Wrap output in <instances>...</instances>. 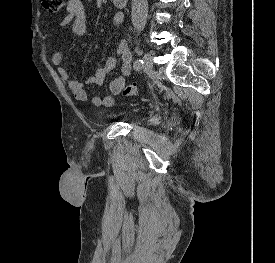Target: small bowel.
<instances>
[{
  "instance_id": "small-bowel-1",
  "label": "small bowel",
  "mask_w": 275,
  "mask_h": 263,
  "mask_svg": "<svg viewBox=\"0 0 275 263\" xmlns=\"http://www.w3.org/2000/svg\"><path fill=\"white\" fill-rule=\"evenodd\" d=\"M67 15L60 23V28L70 26L74 35L82 37L86 33V10L81 0H69L67 5ZM113 23L120 28L123 23V15L116 13L113 16ZM121 61V72L119 76L109 83L110 94L103 97H93L91 104L95 107L109 108L114 103V96L122 91L126 78L132 70V54L129 50L127 41L119 39L114 52L106 59L104 64H98L92 76L88 77L86 84L102 85L108 74L112 72L117 61ZM63 55L60 51H56L52 55V63L56 65L59 76L67 82L69 89L78 101H86L88 99L87 91L84 83L72 78L69 71L62 66Z\"/></svg>"
}]
</instances>
